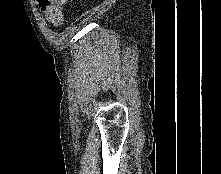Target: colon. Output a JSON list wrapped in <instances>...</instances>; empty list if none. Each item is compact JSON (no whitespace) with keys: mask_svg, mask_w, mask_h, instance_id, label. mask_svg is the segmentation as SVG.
Here are the masks:
<instances>
[{"mask_svg":"<svg viewBox=\"0 0 221 174\" xmlns=\"http://www.w3.org/2000/svg\"><path fill=\"white\" fill-rule=\"evenodd\" d=\"M39 7L46 14L47 19L54 25H60L63 22L62 7L67 0H37Z\"/></svg>","mask_w":221,"mask_h":174,"instance_id":"obj_1","label":"colon"}]
</instances>
